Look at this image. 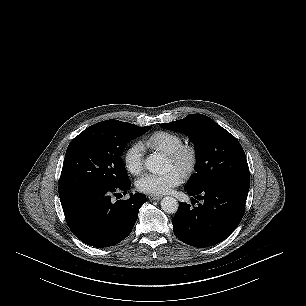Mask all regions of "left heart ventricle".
I'll list each match as a JSON object with an SVG mask.
<instances>
[{"label":"left heart ventricle","mask_w":306,"mask_h":306,"mask_svg":"<svg viewBox=\"0 0 306 306\" xmlns=\"http://www.w3.org/2000/svg\"><path fill=\"white\" fill-rule=\"evenodd\" d=\"M168 164H169V168L170 169H177L181 172V168L179 166H177L171 159H168Z\"/></svg>","instance_id":"obj_1"}]
</instances>
